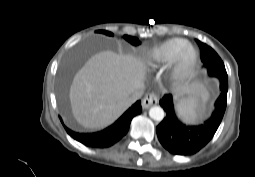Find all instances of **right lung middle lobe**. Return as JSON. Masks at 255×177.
I'll return each instance as SVG.
<instances>
[{"instance_id": "1", "label": "right lung middle lobe", "mask_w": 255, "mask_h": 177, "mask_svg": "<svg viewBox=\"0 0 255 177\" xmlns=\"http://www.w3.org/2000/svg\"><path fill=\"white\" fill-rule=\"evenodd\" d=\"M99 33L105 34L107 36H113V33L109 32V31H105V30H100ZM124 39L127 40L132 45L140 44V41L135 37L124 35ZM60 97H61L62 104L65 105V88L64 87L61 88Z\"/></svg>"}]
</instances>
